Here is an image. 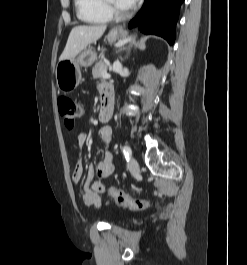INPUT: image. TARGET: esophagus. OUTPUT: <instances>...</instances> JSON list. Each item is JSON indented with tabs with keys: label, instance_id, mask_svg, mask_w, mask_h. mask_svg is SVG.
Returning a JSON list of instances; mask_svg holds the SVG:
<instances>
[{
	"label": "esophagus",
	"instance_id": "esophagus-1",
	"mask_svg": "<svg viewBox=\"0 0 247 265\" xmlns=\"http://www.w3.org/2000/svg\"><path fill=\"white\" fill-rule=\"evenodd\" d=\"M113 30L121 32V31H123V26H117Z\"/></svg>",
	"mask_w": 247,
	"mask_h": 265
}]
</instances>
